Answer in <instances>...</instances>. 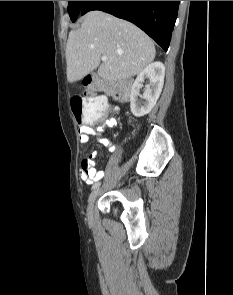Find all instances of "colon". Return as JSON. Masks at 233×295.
I'll list each match as a JSON object with an SVG mask.
<instances>
[{
	"label": "colon",
	"mask_w": 233,
	"mask_h": 295,
	"mask_svg": "<svg viewBox=\"0 0 233 295\" xmlns=\"http://www.w3.org/2000/svg\"><path fill=\"white\" fill-rule=\"evenodd\" d=\"M84 87V97L77 96L71 99V110L79 124L95 121L107 113V106L101 94L128 95L132 82L104 81L88 77L84 80Z\"/></svg>",
	"instance_id": "colon-1"
}]
</instances>
